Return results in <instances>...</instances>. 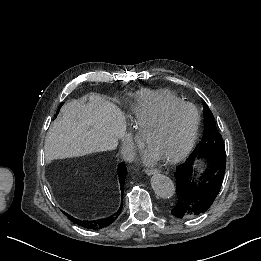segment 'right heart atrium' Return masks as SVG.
<instances>
[{
  "label": "right heart atrium",
  "mask_w": 261,
  "mask_h": 261,
  "mask_svg": "<svg viewBox=\"0 0 261 261\" xmlns=\"http://www.w3.org/2000/svg\"><path fill=\"white\" fill-rule=\"evenodd\" d=\"M128 134H129V143H128V144H130L131 141H132V138H133V134H132V130H131V128L129 129Z\"/></svg>",
  "instance_id": "d8ad5b80"
}]
</instances>
